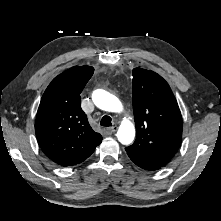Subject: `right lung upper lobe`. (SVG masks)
<instances>
[{"instance_id":"cb5924a9","label":"right lung upper lobe","mask_w":221,"mask_h":221,"mask_svg":"<svg viewBox=\"0 0 221 221\" xmlns=\"http://www.w3.org/2000/svg\"><path fill=\"white\" fill-rule=\"evenodd\" d=\"M93 72L87 65L64 71L49 84L38 108L35 133L39 146L63 167L83 162L102 141L81 109L80 93Z\"/></svg>"}]
</instances>
